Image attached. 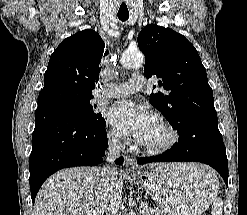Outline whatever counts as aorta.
Segmentation results:
<instances>
[{
  "mask_svg": "<svg viewBox=\"0 0 247 215\" xmlns=\"http://www.w3.org/2000/svg\"><path fill=\"white\" fill-rule=\"evenodd\" d=\"M120 62L124 67H141L144 63V56L140 52H125Z\"/></svg>",
  "mask_w": 247,
  "mask_h": 215,
  "instance_id": "1",
  "label": "aorta"
}]
</instances>
